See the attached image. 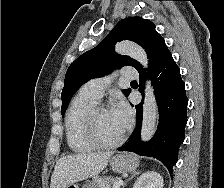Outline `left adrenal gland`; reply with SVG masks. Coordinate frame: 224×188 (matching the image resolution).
Masks as SVG:
<instances>
[{"label":"left adrenal gland","mask_w":224,"mask_h":188,"mask_svg":"<svg viewBox=\"0 0 224 188\" xmlns=\"http://www.w3.org/2000/svg\"><path fill=\"white\" fill-rule=\"evenodd\" d=\"M140 173V171H134L132 173V175L126 180V182L122 185V188H124L126 186V184L133 178L135 177L136 175H138Z\"/></svg>","instance_id":"a2214340"}]
</instances>
